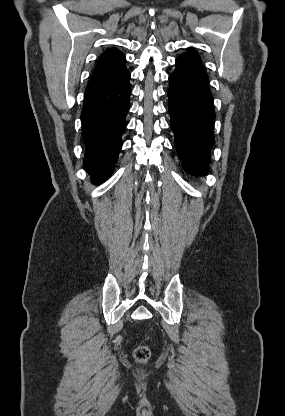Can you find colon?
Wrapping results in <instances>:
<instances>
[{"label":"colon","mask_w":285,"mask_h":416,"mask_svg":"<svg viewBox=\"0 0 285 416\" xmlns=\"http://www.w3.org/2000/svg\"><path fill=\"white\" fill-rule=\"evenodd\" d=\"M150 352L146 346H139L134 351V358L137 362H146L149 358Z\"/></svg>","instance_id":"1"}]
</instances>
